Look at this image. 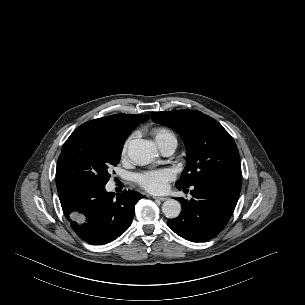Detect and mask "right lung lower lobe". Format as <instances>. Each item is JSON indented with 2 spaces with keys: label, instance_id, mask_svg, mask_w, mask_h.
<instances>
[{
  "label": "right lung lower lobe",
  "instance_id": "98d812e1",
  "mask_svg": "<svg viewBox=\"0 0 305 305\" xmlns=\"http://www.w3.org/2000/svg\"><path fill=\"white\" fill-rule=\"evenodd\" d=\"M65 217L75 233L89 244L112 242L131 225L134 207L144 198L136 191H123L115 197L105 186L75 183L57 185Z\"/></svg>",
  "mask_w": 305,
  "mask_h": 305
}]
</instances>
